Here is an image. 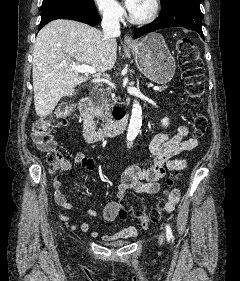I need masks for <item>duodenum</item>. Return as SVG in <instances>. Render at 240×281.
Wrapping results in <instances>:
<instances>
[{"label":"duodenum","instance_id":"1","mask_svg":"<svg viewBox=\"0 0 240 281\" xmlns=\"http://www.w3.org/2000/svg\"><path fill=\"white\" fill-rule=\"evenodd\" d=\"M79 110L83 118L82 134L88 143H95L118 135L127 127L129 120V114L125 113L123 109H119L109 123L97 128L92 119V103L87 97L80 100Z\"/></svg>","mask_w":240,"mask_h":281}]
</instances>
